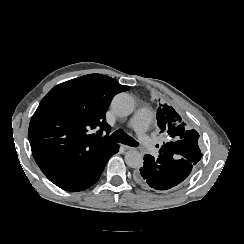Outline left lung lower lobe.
Listing matches in <instances>:
<instances>
[{"label":"left lung lower lobe","instance_id":"left-lung-lower-lobe-1","mask_svg":"<svg viewBox=\"0 0 244 244\" xmlns=\"http://www.w3.org/2000/svg\"><path fill=\"white\" fill-rule=\"evenodd\" d=\"M194 165L187 160L177 159L172 153H162L157 159L148 154L144 156V166L136 172V179L143 185L166 190L185 180Z\"/></svg>","mask_w":244,"mask_h":244}]
</instances>
